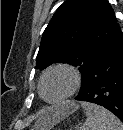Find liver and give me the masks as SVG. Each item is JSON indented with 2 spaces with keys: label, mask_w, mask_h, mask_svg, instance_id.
Here are the masks:
<instances>
[{
  "label": "liver",
  "mask_w": 123,
  "mask_h": 130,
  "mask_svg": "<svg viewBox=\"0 0 123 130\" xmlns=\"http://www.w3.org/2000/svg\"><path fill=\"white\" fill-rule=\"evenodd\" d=\"M75 107L74 103H68L62 108H49L35 124V127L38 129H47L49 130L63 115L66 114V110L69 108Z\"/></svg>",
  "instance_id": "obj_1"
}]
</instances>
